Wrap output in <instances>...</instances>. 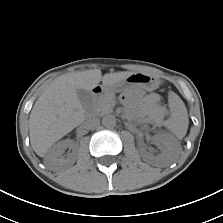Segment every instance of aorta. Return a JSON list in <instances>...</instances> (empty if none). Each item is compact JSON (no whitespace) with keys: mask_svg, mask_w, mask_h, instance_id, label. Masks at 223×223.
I'll return each mask as SVG.
<instances>
[{"mask_svg":"<svg viewBox=\"0 0 223 223\" xmlns=\"http://www.w3.org/2000/svg\"><path fill=\"white\" fill-rule=\"evenodd\" d=\"M102 124L103 126L107 127V128H113L116 126V118L114 115H105L102 118Z\"/></svg>","mask_w":223,"mask_h":223,"instance_id":"obj_1","label":"aorta"}]
</instances>
